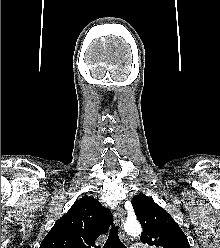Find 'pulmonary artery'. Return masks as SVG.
Listing matches in <instances>:
<instances>
[{
  "label": "pulmonary artery",
  "instance_id": "e3ab8cb5",
  "mask_svg": "<svg viewBox=\"0 0 220 248\" xmlns=\"http://www.w3.org/2000/svg\"><path fill=\"white\" fill-rule=\"evenodd\" d=\"M131 248H145V246L142 244L136 243V244H133Z\"/></svg>",
  "mask_w": 220,
  "mask_h": 248
}]
</instances>
